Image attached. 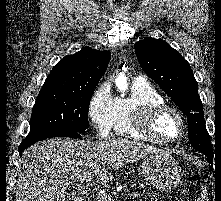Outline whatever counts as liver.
Wrapping results in <instances>:
<instances>
[{
    "mask_svg": "<svg viewBox=\"0 0 221 201\" xmlns=\"http://www.w3.org/2000/svg\"><path fill=\"white\" fill-rule=\"evenodd\" d=\"M159 151L126 139L41 141L22 154L15 201H70L66 191L70 182L96 177L106 184L113 179L108 170H119Z\"/></svg>",
    "mask_w": 221,
    "mask_h": 201,
    "instance_id": "liver-1",
    "label": "liver"
}]
</instances>
